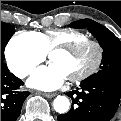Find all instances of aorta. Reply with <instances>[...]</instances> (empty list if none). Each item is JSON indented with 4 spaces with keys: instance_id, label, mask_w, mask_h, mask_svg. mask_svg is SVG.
<instances>
[{
    "instance_id": "aorta-1",
    "label": "aorta",
    "mask_w": 121,
    "mask_h": 121,
    "mask_svg": "<svg viewBox=\"0 0 121 121\" xmlns=\"http://www.w3.org/2000/svg\"><path fill=\"white\" fill-rule=\"evenodd\" d=\"M53 107L56 112L64 114V113L68 112V110L70 108L69 99L65 96H57L54 99Z\"/></svg>"
}]
</instances>
